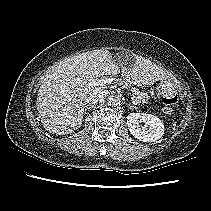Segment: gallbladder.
Wrapping results in <instances>:
<instances>
[{
	"label": "gallbladder",
	"instance_id": "gallbladder-1",
	"mask_svg": "<svg viewBox=\"0 0 211 211\" xmlns=\"http://www.w3.org/2000/svg\"><path fill=\"white\" fill-rule=\"evenodd\" d=\"M127 55H128L127 53H123V54H122V56H127Z\"/></svg>",
	"mask_w": 211,
	"mask_h": 211
}]
</instances>
